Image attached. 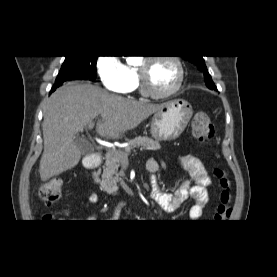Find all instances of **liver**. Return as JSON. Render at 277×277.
I'll list each match as a JSON object with an SVG mask.
<instances>
[{"label":"liver","mask_w":277,"mask_h":277,"mask_svg":"<svg viewBox=\"0 0 277 277\" xmlns=\"http://www.w3.org/2000/svg\"><path fill=\"white\" fill-rule=\"evenodd\" d=\"M161 107L112 95L91 84L63 85L50 96L44 110L41 180L47 181L79 163L81 151L74 143L75 135L96 117L100 116L96 124L100 136L119 139Z\"/></svg>","instance_id":"obj_1"}]
</instances>
